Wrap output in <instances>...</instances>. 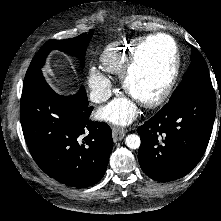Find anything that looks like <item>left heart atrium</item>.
Wrapping results in <instances>:
<instances>
[{
  "label": "left heart atrium",
  "instance_id": "left-heart-atrium-1",
  "mask_svg": "<svg viewBox=\"0 0 221 221\" xmlns=\"http://www.w3.org/2000/svg\"><path fill=\"white\" fill-rule=\"evenodd\" d=\"M104 113L116 123L127 124L136 115V107L134 104L127 100L122 99L112 103L108 106Z\"/></svg>",
  "mask_w": 221,
  "mask_h": 221
}]
</instances>
